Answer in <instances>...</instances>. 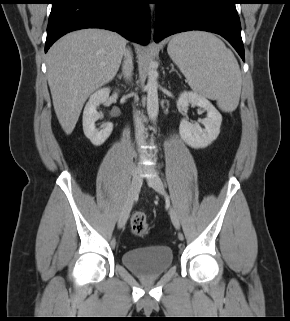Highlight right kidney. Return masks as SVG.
Returning <instances> with one entry per match:
<instances>
[{
    "label": "right kidney",
    "mask_w": 290,
    "mask_h": 321,
    "mask_svg": "<svg viewBox=\"0 0 290 321\" xmlns=\"http://www.w3.org/2000/svg\"><path fill=\"white\" fill-rule=\"evenodd\" d=\"M110 88L104 87L93 93L83 111V131L85 136L95 146L102 145L110 136L113 130L112 123H106L102 129H96L95 122L100 118L96 108L100 103L106 102L109 98Z\"/></svg>",
    "instance_id": "1"
}]
</instances>
